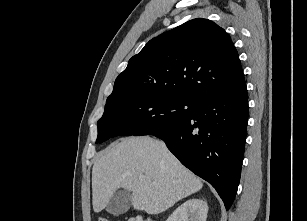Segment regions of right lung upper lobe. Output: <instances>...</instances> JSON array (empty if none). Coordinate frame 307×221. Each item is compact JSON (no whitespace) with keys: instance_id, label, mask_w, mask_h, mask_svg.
<instances>
[{"instance_id":"1","label":"right lung upper lobe","mask_w":307,"mask_h":221,"mask_svg":"<svg viewBox=\"0 0 307 221\" xmlns=\"http://www.w3.org/2000/svg\"><path fill=\"white\" fill-rule=\"evenodd\" d=\"M230 36L197 18L150 40L116 78L106 104L141 94H166L193 102L245 87Z\"/></svg>"}]
</instances>
